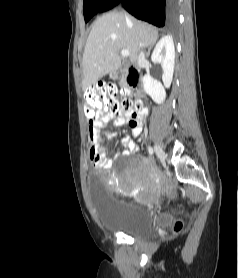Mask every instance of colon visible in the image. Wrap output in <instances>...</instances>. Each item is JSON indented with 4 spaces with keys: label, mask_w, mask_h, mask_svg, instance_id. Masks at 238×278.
<instances>
[{
    "label": "colon",
    "mask_w": 238,
    "mask_h": 278,
    "mask_svg": "<svg viewBox=\"0 0 238 278\" xmlns=\"http://www.w3.org/2000/svg\"><path fill=\"white\" fill-rule=\"evenodd\" d=\"M117 88L111 84L101 85L96 88L88 89L84 94V112L90 123L94 124L97 117L103 112L115 113L118 110L126 112L133 111L134 108L141 109L140 103H134L128 96V91H122L123 99L119 103L117 100ZM87 136L91 135L90 131L86 132ZM183 223L177 221L174 225V232L182 230Z\"/></svg>",
    "instance_id": "obj_1"
}]
</instances>
